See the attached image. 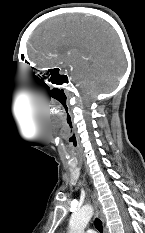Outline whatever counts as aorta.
Returning <instances> with one entry per match:
<instances>
[{"mask_svg": "<svg viewBox=\"0 0 145 233\" xmlns=\"http://www.w3.org/2000/svg\"><path fill=\"white\" fill-rule=\"evenodd\" d=\"M92 215L93 208L90 205H85L75 211L69 221V233H84Z\"/></svg>", "mask_w": 145, "mask_h": 233, "instance_id": "obj_1", "label": "aorta"}]
</instances>
